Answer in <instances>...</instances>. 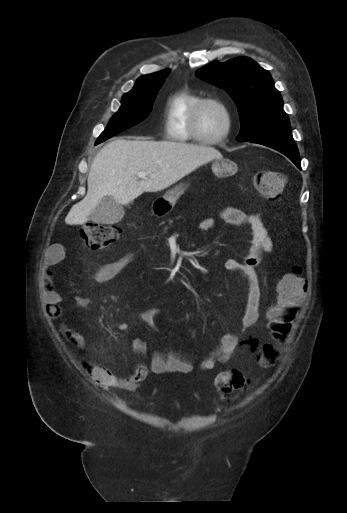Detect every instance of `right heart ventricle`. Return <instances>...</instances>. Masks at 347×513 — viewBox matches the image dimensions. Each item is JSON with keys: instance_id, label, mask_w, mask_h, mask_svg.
<instances>
[{"instance_id": "e07e8e85", "label": "right heart ventricle", "mask_w": 347, "mask_h": 513, "mask_svg": "<svg viewBox=\"0 0 347 513\" xmlns=\"http://www.w3.org/2000/svg\"><path fill=\"white\" fill-rule=\"evenodd\" d=\"M203 97L190 89H181L172 94L166 105V136L179 143H200L190 131L191 113Z\"/></svg>"}]
</instances>
